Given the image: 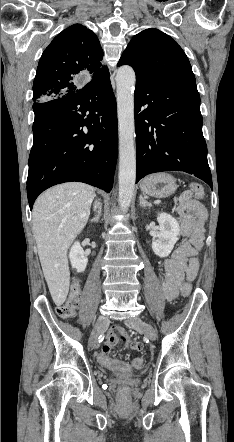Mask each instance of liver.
Segmentation results:
<instances>
[{
    "label": "liver",
    "mask_w": 234,
    "mask_h": 442,
    "mask_svg": "<svg viewBox=\"0 0 234 442\" xmlns=\"http://www.w3.org/2000/svg\"><path fill=\"white\" fill-rule=\"evenodd\" d=\"M94 196L92 186L70 182L47 190L35 201L33 234L43 274L57 306L65 302L69 291L67 250L86 226Z\"/></svg>",
    "instance_id": "liver-1"
}]
</instances>
